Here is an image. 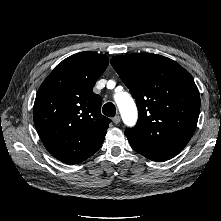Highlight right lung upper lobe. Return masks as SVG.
<instances>
[{
    "mask_svg": "<svg viewBox=\"0 0 221 221\" xmlns=\"http://www.w3.org/2000/svg\"><path fill=\"white\" fill-rule=\"evenodd\" d=\"M108 63L106 55L77 53L59 63L40 86L34 124L56 159L77 164L101 147L110 119L101 114V98L93 86Z\"/></svg>",
    "mask_w": 221,
    "mask_h": 221,
    "instance_id": "1",
    "label": "right lung upper lobe"
}]
</instances>
